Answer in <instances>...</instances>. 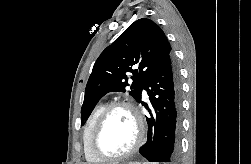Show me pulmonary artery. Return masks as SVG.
<instances>
[{"mask_svg": "<svg viewBox=\"0 0 251 164\" xmlns=\"http://www.w3.org/2000/svg\"><path fill=\"white\" fill-rule=\"evenodd\" d=\"M143 95H144V96H147V93H146V91H145V90L143 91Z\"/></svg>", "mask_w": 251, "mask_h": 164, "instance_id": "pulmonary-artery-1", "label": "pulmonary artery"}]
</instances>
